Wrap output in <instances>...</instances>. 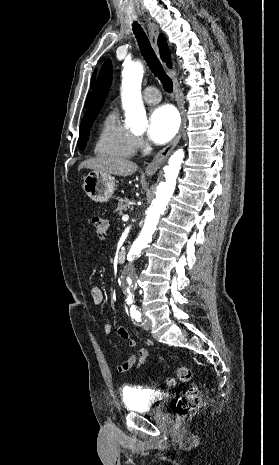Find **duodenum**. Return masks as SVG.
<instances>
[{"mask_svg": "<svg viewBox=\"0 0 279 465\" xmlns=\"http://www.w3.org/2000/svg\"><path fill=\"white\" fill-rule=\"evenodd\" d=\"M126 259V250H120L117 254V261L123 263Z\"/></svg>", "mask_w": 279, "mask_h": 465, "instance_id": "410a0bca", "label": "duodenum"}]
</instances>
